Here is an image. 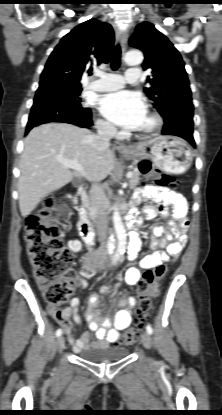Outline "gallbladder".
<instances>
[{
  "instance_id": "1",
  "label": "gallbladder",
  "mask_w": 222,
  "mask_h": 415,
  "mask_svg": "<svg viewBox=\"0 0 222 415\" xmlns=\"http://www.w3.org/2000/svg\"><path fill=\"white\" fill-rule=\"evenodd\" d=\"M73 185L78 186V185H79V180H77V179H76V180H74V181H73Z\"/></svg>"
}]
</instances>
